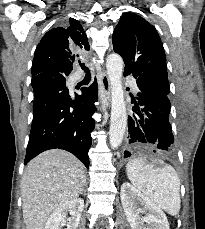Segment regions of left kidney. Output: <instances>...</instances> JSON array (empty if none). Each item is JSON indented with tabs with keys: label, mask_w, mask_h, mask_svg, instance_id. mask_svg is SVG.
<instances>
[{
	"label": "left kidney",
	"mask_w": 205,
	"mask_h": 229,
	"mask_svg": "<svg viewBox=\"0 0 205 229\" xmlns=\"http://www.w3.org/2000/svg\"><path fill=\"white\" fill-rule=\"evenodd\" d=\"M120 196L131 229H169L164 212L139 189L125 182L121 186Z\"/></svg>",
	"instance_id": "5707ae66"
}]
</instances>
